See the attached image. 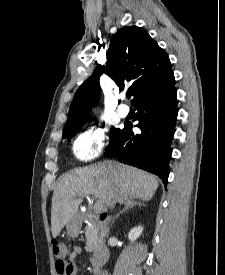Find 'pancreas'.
I'll use <instances>...</instances> for the list:
<instances>
[{"label":"pancreas","instance_id":"1","mask_svg":"<svg viewBox=\"0 0 225 275\" xmlns=\"http://www.w3.org/2000/svg\"><path fill=\"white\" fill-rule=\"evenodd\" d=\"M98 225L95 221H90V224L86 226V239H87V246L86 250L88 252H92L98 242Z\"/></svg>","mask_w":225,"mask_h":275}]
</instances>
